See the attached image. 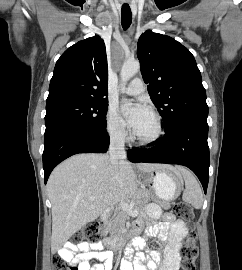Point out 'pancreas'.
<instances>
[{
  "mask_svg": "<svg viewBox=\"0 0 242 270\" xmlns=\"http://www.w3.org/2000/svg\"><path fill=\"white\" fill-rule=\"evenodd\" d=\"M151 193L149 191H142L138 195H136L131 204L134 209L140 211L143 206L150 201ZM162 207L165 209H169L170 206L167 204H162ZM127 213L123 211L121 208H116L112 217L107 222V231L111 235H119L125 231V223L127 219Z\"/></svg>",
  "mask_w": 242,
  "mask_h": 270,
  "instance_id": "obj_1",
  "label": "pancreas"
}]
</instances>
